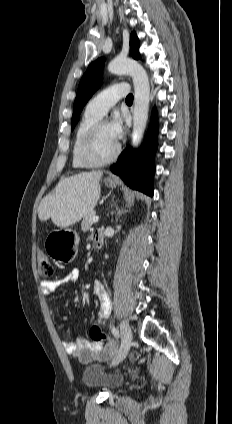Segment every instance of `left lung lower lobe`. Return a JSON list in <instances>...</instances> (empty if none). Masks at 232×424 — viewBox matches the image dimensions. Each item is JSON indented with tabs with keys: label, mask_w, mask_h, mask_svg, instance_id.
<instances>
[{
	"label": "left lung lower lobe",
	"mask_w": 232,
	"mask_h": 424,
	"mask_svg": "<svg viewBox=\"0 0 232 424\" xmlns=\"http://www.w3.org/2000/svg\"><path fill=\"white\" fill-rule=\"evenodd\" d=\"M157 113L152 112L151 123L146 139L138 152L125 149L111 171L119 175L133 189L153 196L154 156L157 150Z\"/></svg>",
	"instance_id": "0a47b994"
}]
</instances>
